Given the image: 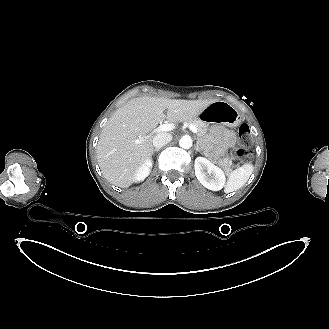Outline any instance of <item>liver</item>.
<instances>
[{
  "label": "liver",
  "mask_w": 329,
  "mask_h": 329,
  "mask_svg": "<svg viewBox=\"0 0 329 329\" xmlns=\"http://www.w3.org/2000/svg\"><path fill=\"white\" fill-rule=\"evenodd\" d=\"M216 100L145 96L128 101L115 111L101 132L97 159L103 176L121 188L132 185L138 169L152 155V139L147 134L165 119L176 123L196 119ZM139 138L143 141L135 143Z\"/></svg>",
  "instance_id": "1"
}]
</instances>
